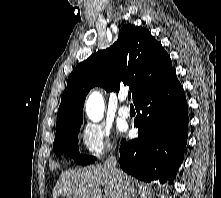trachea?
Returning a JSON list of instances; mask_svg holds the SVG:
<instances>
[{"label":"trachea","instance_id":"1","mask_svg":"<svg viewBox=\"0 0 221 198\" xmlns=\"http://www.w3.org/2000/svg\"><path fill=\"white\" fill-rule=\"evenodd\" d=\"M128 98H129V99L131 98V94H130V93L128 94Z\"/></svg>","mask_w":221,"mask_h":198}]
</instances>
